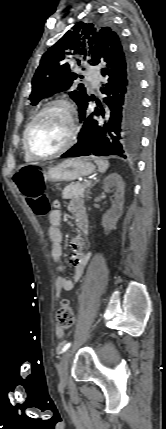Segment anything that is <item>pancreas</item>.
I'll list each match as a JSON object with an SVG mask.
<instances>
[{
    "instance_id": "1",
    "label": "pancreas",
    "mask_w": 166,
    "mask_h": 429,
    "mask_svg": "<svg viewBox=\"0 0 166 429\" xmlns=\"http://www.w3.org/2000/svg\"><path fill=\"white\" fill-rule=\"evenodd\" d=\"M91 187V184H70L66 186L62 192V196L64 199H72L74 197H84L87 192V188Z\"/></svg>"
}]
</instances>
